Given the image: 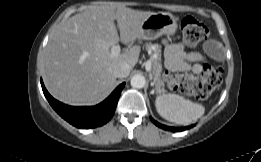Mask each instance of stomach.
<instances>
[{
  "instance_id": "stomach-1",
  "label": "stomach",
  "mask_w": 261,
  "mask_h": 162,
  "mask_svg": "<svg viewBox=\"0 0 261 162\" xmlns=\"http://www.w3.org/2000/svg\"><path fill=\"white\" fill-rule=\"evenodd\" d=\"M177 19L170 13H154L144 19L140 25L141 38L154 40L162 35L173 36L177 30Z\"/></svg>"
}]
</instances>
